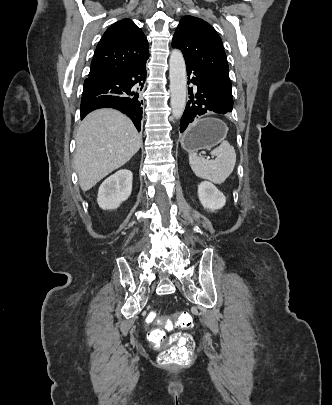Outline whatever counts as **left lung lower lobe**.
Returning a JSON list of instances; mask_svg holds the SVG:
<instances>
[{"mask_svg": "<svg viewBox=\"0 0 332 405\" xmlns=\"http://www.w3.org/2000/svg\"><path fill=\"white\" fill-rule=\"evenodd\" d=\"M188 79L190 75L192 76L190 82L196 85L193 90L189 88L190 100L186 105V109L181 118L180 132H184L187 126L194 121L198 116L203 115L209 111H214L216 113H228L232 109H227L222 105L217 97V94L206 78V76L201 73L196 68L189 64H186ZM189 82V83H190Z\"/></svg>", "mask_w": 332, "mask_h": 405, "instance_id": "1", "label": "left lung lower lobe"}]
</instances>
